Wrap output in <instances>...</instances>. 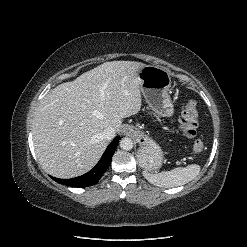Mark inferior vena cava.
Wrapping results in <instances>:
<instances>
[{
  "mask_svg": "<svg viewBox=\"0 0 247 247\" xmlns=\"http://www.w3.org/2000/svg\"><path fill=\"white\" fill-rule=\"evenodd\" d=\"M103 139L110 141L115 137V130L112 127H108L102 132Z\"/></svg>",
  "mask_w": 247,
  "mask_h": 247,
  "instance_id": "1",
  "label": "inferior vena cava"
}]
</instances>
